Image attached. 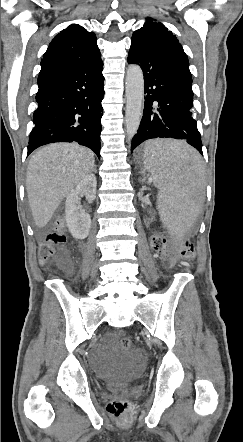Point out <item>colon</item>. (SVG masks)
I'll list each match as a JSON object with an SVG mask.
<instances>
[{
	"instance_id": "colon-1",
	"label": "colon",
	"mask_w": 243,
	"mask_h": 442,
	"mask_svg": "<svg viewBox=\"0 0 243 442\" xmlns=\"http://www.w3.org/2000/svg\"><path fill=\"white\" fill-rule=\"evenodd\" d=\"M64 223L59 220L56 223L55 229L49 232L39 249V259L45 262L54 256L58 255L60 246L65 242ZM148 232L149 241L151 247L149 251L151 253L159 254L162 259L178 258L181 263H190L195 260L196 253L199 248L193 242L191 237H185L183 242L187 244V248H177V251H172L168 248L167 243L170 242L171 235L169 233H163L159 226H149ZM177 242V239H174ZM177 246H183V243H177ZM168 248V250H167ZM120 346L124 350H130L132 348V341L128 337H122L120 339ZM110 415L117 419H126L130 416V403L124 398H115L111 400L107 406Z\"/></svg>"
}]
</instances>
